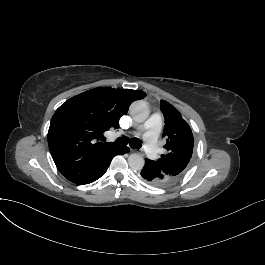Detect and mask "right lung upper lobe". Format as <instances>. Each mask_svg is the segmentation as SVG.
<instances>
[{
  "mask_svg": "<svg viewBox=\"0 0 265 265\" xmlns=\"http://www.w3.org/2000/svg\"><path fill=\"white\" fill-rule=\"evenodd\" d=\"M146 94L139 90L95 88L62 104L52 117L48 145L52 158L68 180L89 184L98 178L122 147L102 143L103 133L117 128L129 105Z\"/></svg>",
  "mask_w": 265,
  "mask_h": 265,
  "instance_id": "1",
  "label": "right lung upper lobe"
}]
</instances>
